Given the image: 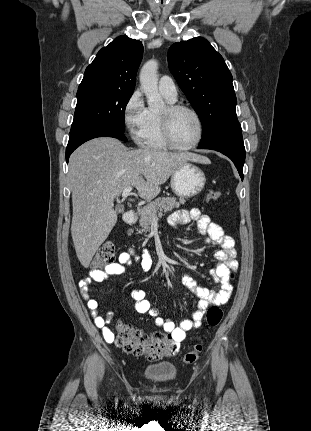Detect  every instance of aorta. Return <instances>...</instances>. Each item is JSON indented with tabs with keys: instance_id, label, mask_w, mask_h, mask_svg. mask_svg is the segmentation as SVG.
Returning a JSON list of instances; mask_svg holds the SVG:
<instances>
[{
	"instance_id": "1",
	"label": "aorta",
	"mask_w": 311,
	"mask_h": 431,
	"mask_svg": "<svg viewBox=\"0 0 311 431\" xmlns=\"http://www.w3.org/2000/svg\"><path fill=\"white\" fill-rule=\"evenodd\" d=\"M158 62L149 60L144 64L139 80L141 90H143L149 108H163L164 102L161 94L158 92Z\"/></svg>"
}]
</instances>
